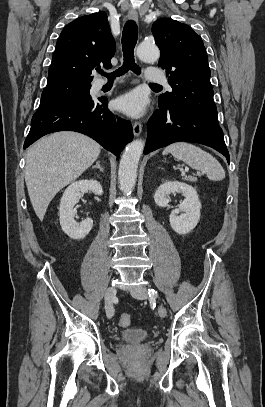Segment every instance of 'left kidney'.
<instances>
[{
    "label": "left kidney",
    "mask_w": 265,
    "mask_h": 407,
    "mask_svg": "<svg viewBox=\"0 0 265 407\" xmlns=\"http://www.w3.org/2000/svg\"><path fill=\"white\" fill-rule=\"evenodd\" d=\"M174 192L183 194L185 199L179 205V208L171 212L169 216L170 225L176 233L188 234L200 220L201 203L197 191L192 186L179 181H166L155 192L154 200L156 205L162 208L167 207L169 203L168 196ZM179 212L184 213L178 216Z\"/></svg>",
    "instance_id": "left-kidney-1"
}]
</instances>
